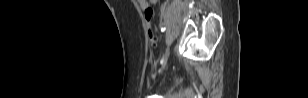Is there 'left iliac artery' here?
<instances>
[{
  "mask_svg": "<svg viewBox=\"0 0 308 98\" xmlns=\"http://www.w3.org/2000/svg\"><path fill=\"white\" fill-rule=\"evenodd\" d=\"M158 29L160 30V31H162V32H165V30H166V28H165V26L163 25V24H160L159 26H158ZM162 62V61H161Z\"/></svg>",
  "mask_w": 308,
  "mask_h": 98,
  "instance_id": "left-iliac-artery-1",
  "label": "left iliac artery"
}]
</instances>
